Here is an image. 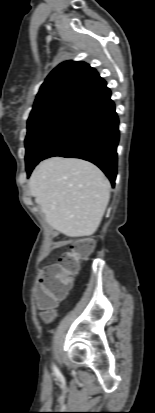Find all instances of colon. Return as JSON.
Listing matches in <instances>:
<instances>
[{
    "label": "colon",
    "instance_id": "1",
    "mask_svg": "<svg viewBox=\"0 0 155 413\" xmlns=\"http://www.w3.org/2000/svg\"><path fill=\"white\" fill-rule=\"evenodd\" d=\"M91 240H80L72 244L56 265L51 266L41 280L44 293L40 303L44 306H53L69 288L73 276L78 272L81 261L93 249Z\"/></svg>",
    "mask_w": 155,
    "mask_h": 413
}]
</instances>
